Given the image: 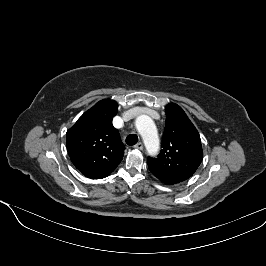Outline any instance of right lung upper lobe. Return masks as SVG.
Returning a JSON list of instances; mask_svg holds the SVG:
<instances>
[{
  "mask_svg": "<svg viewBox=\"0 0 266 266\" xmlns=\"http://www.w3.org/2000/svg\"><path fill=\"white\" fill-rule=\"evenodd\" d=\"M118 104L104 99L86 111L67 131V151L72 163L86 177L102 179L123 158L124 144L112 125Z\"/></svg>",
  "mask_w": 266,
  "mask_h": 266,
  "instance_id": "cb5924a9",
  "label": "right lung upper lobe"
}]
</instances>
